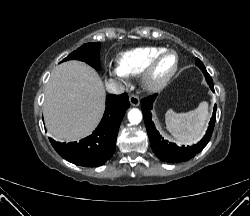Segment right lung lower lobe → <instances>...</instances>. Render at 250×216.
Listing matches in <instances>:
<instances>
[{
    "instance_id": "98d812e1",
    "label": "right lung lower lobe",
    "mask_w": 250,
    "mask_h": 216,
    "mask_svg": "<svg viewBox=\"0 0 250 216\" xmlns=\"http://www.w3.org/2000/svg\"><path fill=\"white\" fill-rule=\"evenodd\" d=\"M129 98L122 95H108L103 118L92 135L79 142L59 143L50 139L54 149L67 161L84 167H98L109 160L116 145L120 123L129 108Z\"/></svg>"
}]
</instances>
